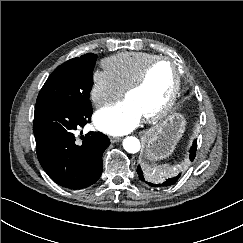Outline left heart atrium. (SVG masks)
Segmentation results:
<instances>
[{
	"label": "left heart atrium",
	"mask_w": 243,
	"mask_h": 243,
	"mask_svg": "<svg viewBox=\"0 0 243 243\" xmlns=\"http://www.w3.org/2000/svg\"><path fill=\"white\" fill-rule=\"evenodd\" d=\"M143 117L141 110L126 98L98 110L94 123L105 133L123 135L136 128Z\"/></svg>",
	"instance_id": "left-heart-atrium-1"
}]
</instances>
